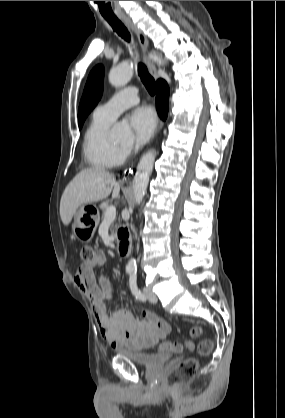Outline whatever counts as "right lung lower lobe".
Segmentation results:
<instances>
[{
	"label": "right lung lower lobe",
	"mask_w": 285,
	"mask_h": 418,
	"mask_svg": "<svg viewBox=\"0 0 285 418\" xmlns=\"http://www.w3.org/2000/svg\"><path fill=\"white\" fill-rule=\"evenodd\" d=\"M158 93L156 96V103L158 106V114L161 119L165 120L168 112L169 88L167 83L159 79L157 81Z\"/></svg>",
	"instance_id": "98d812e1"
}]
</instances>
